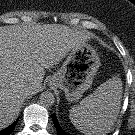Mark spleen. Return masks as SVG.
<instances>
[{
  "instance_id": "spleen-1",
  "label": "spleen",
  "mask_w": 135,
  "mask_h": 135,
  "mask_svg": "<svg viewBox=\"0 0 135 135\" xmlns=\"http://www.w3.org/2000/svg\"><path fill=\"white\" fill-rule=\"evenodd\" d=\"M122 81L112 76L69 110L72 124L85 135H106L120 112Z\"/></svg>"
}]
</instances>
